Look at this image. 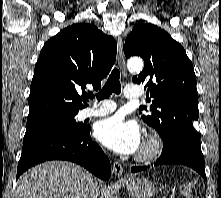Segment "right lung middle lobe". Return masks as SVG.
I'll use <instances>...</instances> for the list:
<instances>
[{
	"instance_id": "right-lung-middle-lobe-1",
	"label": "right lung middle lobe",
	"mask_w": 221,
	"mask_h": 198,
	"mask_svg": "<svg viewBox=\"0 0 221 198\" xmlns=\"http://www.w3.org/2000/svg\"><path fill=\"white\" fill-rule=\"evenodd\" d=\"M76 114L77 113L54 114L32 122H27L23 144L47 134L76 133L81 131L85 128V124L75 121L74 117Z\"/></svg>"
}]
</instances>
